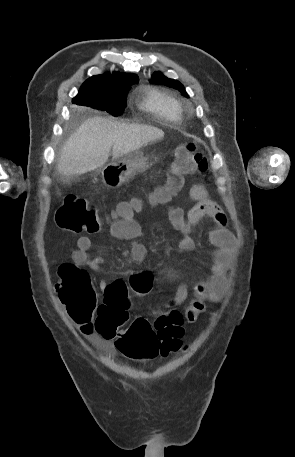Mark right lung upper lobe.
I'll use <instances>...</instances> for the list:
<instances>
[{
  "mask_svg": "<svg viewBox=\"0 0 295 457\" xmlns=\"http://www.w3.org/2000/svg\"><path fill=\"white\" fill-rule=\"evenodd\" d=\"M135 74L113 73V75H96L87 79L81 86L82 89L113 91L129 87L137 81Z\"/></svg>",
  "mask_w": 295,
  "mask_h": 457,
  "instance_id": "right-lung-upper-lobe-1",
  "label": "right lung upper lobe"
}]
</instances>
